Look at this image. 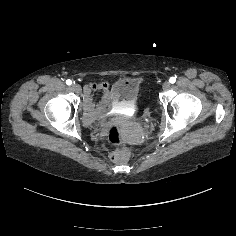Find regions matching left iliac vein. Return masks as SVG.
Here are the masks:
<instances>
[{"label":"left iliac vein","mask_w":236,"mask_h":236,"mask_svg":"<svg viewBox=\"0 0 236 236\" xmlns=\"http://www.w3.org/2000/svg\"><path fill=\"white\" fill-rule=\"evenodd\" d=\"M162 87L164 90H169L171 87V84L168 81H166L163 83Z\"/></svg>","instance_id":"4c4485c4"}]
</instances>
